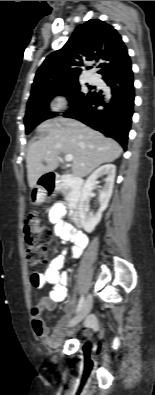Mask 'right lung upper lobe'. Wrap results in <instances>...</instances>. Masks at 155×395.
I'll list each match as a JSON object with an SVG mask.
<instances>
[{"mask_svg": "<svg viewBox=\"0 0 155 395\" xmlns=\"http://www.w3.org/2000/svg\"><path fill=\"white\" fill-rule=\"evenodd\" d=\"M89 60L98 62L101 75L131 65L127 48L113 26L99 19L89 20L76 28L61 49L47 56L37 70L31 96L49 85L78 80L80 67Z\"/></svg>", "mask_w": 155, "mask_h": 395, "instance_id": "1", "label": "right lung upper lobe"}]
</instances>
